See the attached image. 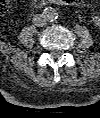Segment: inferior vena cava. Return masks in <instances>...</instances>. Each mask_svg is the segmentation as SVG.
Masks as SVG:
<instances>
[{"label":"inferior vena cava","mask_w":100,"mask_h":118,"mask_svg":"<svg viewBox=\"0 0 100 118\" xmlns=\"http://www.w3.org/2000/svg\"><path fill=\"white\" fill-rule=\"evenodd\" d=\"M32 21H33V24L38 27H43L47 23V20L43 14L34 15Z\"/></svg>","instance_id":"602c4592"}]
</instances>
